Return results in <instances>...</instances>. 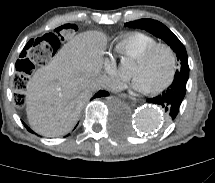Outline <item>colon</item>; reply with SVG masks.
Listing matches in <instances>:
<instances>
[{
	"mask_svg": "<svg viewBox=\"0 0 215 183\" xmlns=\"http://www.w3.org/2000/svg\"><path fill=\"white\" fill-rule=\"evenodd\" d=\"M75 32L76 29L73 24L65 23L58 26L53 33H42L28 42L24 55L18 63V73L13 81L18 103L23 101L21 91L26 88L29 75L35 66L50 60L56 54L61 42L71 39Z\"/></svg>",
	"mask_w": 215,
	"mask_h": 183,
	"instance_id": "obj_1",
	"label": "colon"
}]
</instances>
